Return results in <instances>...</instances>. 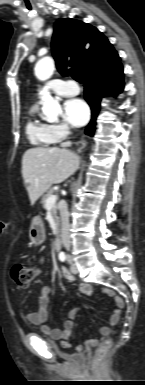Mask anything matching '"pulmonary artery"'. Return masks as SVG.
Here are the masks:
<instances>
[{"label": "pulmonary artery", "mask_w": 145, "mask_h": 385, "mask_svg": "<svg viewBox=\"0 0 145 385\" xmlns=\"http://www.w3.org/2000/svg\"><path fill=\"white\" fill-rule=\"evenodd\" d=\"M47 88L60 96H73L79 93L80 89L76 82L72 80L54 79L49 82Z\"/></svg>", "instance_id": "pulmonary-artery-1"}]
</instances>
